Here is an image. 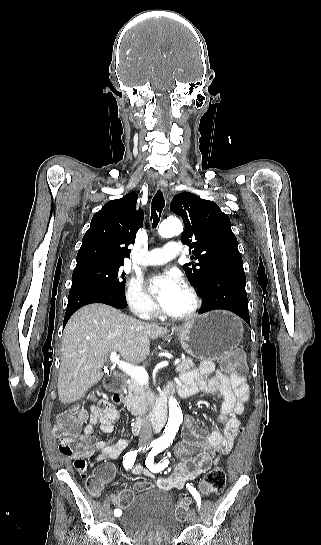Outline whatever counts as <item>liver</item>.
Here are the masks:
<instances>
[{
  "mask_svg": "<svg viewBox=\"0 0 321 545\" xmlns=\"http://www.w3.org/2000/svg\"><path fill=\"white\" fill-rule=\"evenodd\" d=\"M170 333L155 323H142L109 305H86L69 319L62 337L58 395L75 403L104 375L109 353L128 363H141L150 353L149 339Z\"/></svg>",
  "mask_w": 321,
  "mask_h": 545,
  "instance_id": "6515ba94",
  "label": "liver"
}]
</instances>
